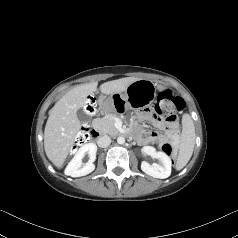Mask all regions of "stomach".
I'll use <instances>...</instances> for the list:
<instances>
[{"mask_svg":"<svg viewBox=\"0 0 238 238\" xmlns=\"http://www.w3.org/2000/svg\"><path fill=\"white\" fill-rule=\"evenodd\" d=\"M156 97V85L146 79H139L131 83L125 91H116L99 106L101 112H116L119 114L129 109H143L149 107Z\"/></svg>","mask_w":238,"mask_h":238,"instance_id":"1","label":"stomach"}]
</instances>
